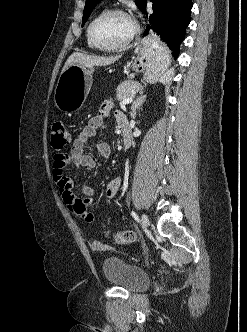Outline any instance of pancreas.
I'll use <instances>...</instances> for the list:
<instances>
[{"label": "pancreas", "mask_w": 247, "mask_h": 332, "mask_svg": "<svg viewBox=\"0 0 247 332\" xmlns=\"http://www.w3.org/2000/svg\"><path fill=\"white\" fill-rule=\"evenodd\" d=\"M142 89V85L136 81H124L116 89V99L123 100L128 97H133L135 93L141 91Z\"/></svg>", "instance_id": "cf45deb5"}]
</instances>
